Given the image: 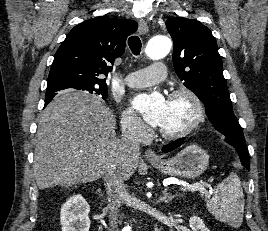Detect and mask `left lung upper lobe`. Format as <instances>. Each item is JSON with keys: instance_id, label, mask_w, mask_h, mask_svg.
<instances>
[{"instance_id": "5c2ea615", "label": "left lung upper lobe", "mask_w": 268, "mask_h": 231, "mask_svg": "<svg viewBox=\"0 0 268 231\" xmlns=\"http://www.w3.org/2000/svg\"><path fill=\"white\" fill-rule=\"evenodd\" d=\"M166 26L174 42L173 63L177 75L204 103L210 122L226 141L234 148H246L211 31L201 22L184 17L169 18Z\"/></svg>"}]
</instances>
